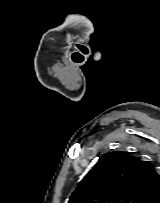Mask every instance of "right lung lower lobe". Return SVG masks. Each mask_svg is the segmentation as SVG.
<instances>
[{
	"label": "right lung lower lobe",
	"mask_w": 160,
	"mask_h": 203,
	"mask_svg": "<svg viewBox=\"0 0 160 203\" xmlns=\"http://www.w3.org/2000/svg\"><path fill=\"white\" fill-rule=\"evenodd\" d=\"M150 203H160V196L154 199L153 201H151Z\"/></svg>",
	"instance_id": "1"
}]
</instances>
